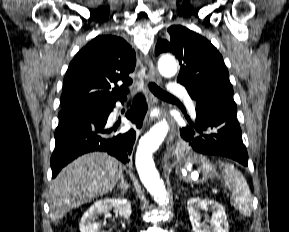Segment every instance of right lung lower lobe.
<instances>
[{
  "label": "right lung lower lobe",
  "instance_id": "98d812e1",
  "mask_svg": "<svg viewBox=\"0 0 289 232\" xmlns=\"http://www.w3.org/2000/svg\"><path fill=\"white\" fill-rule=\"evenodd\" d=\"M114 106L98 108L88 115L59 121L55 131V149L51 157L52 178L79 155L92 151L107 152L123 163L128 161L136 133L134 130L116 133V128L106 125ZM146 108L144 99L137 95L126 117L140 128Z\"/></svg>",
  "mask_w": 289,
  "mask_h": 232
}]
</instances>
